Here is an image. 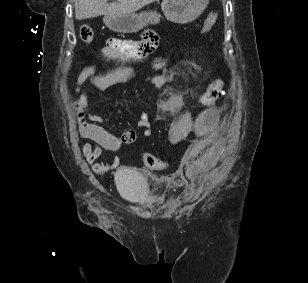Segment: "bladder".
I'll return each mask as SVG.
<instances>
[{
	"label": "bladder",
	"instance_id": "bladder-1",
	"mask_svg": "<svg viewBox=\"0 0 308 283\" xmlns=\"http://www.w3.org/2000/svg\"><path fill=\"white\" fill-rule=\"evenodd\" d=\"M116 181L125 198L133 202L142 200L146 181L141 174L128 169H120L116 174Z\"/></svg>",
	"mask_w": 308,
	"mask_h": 283
}]
</instances>
